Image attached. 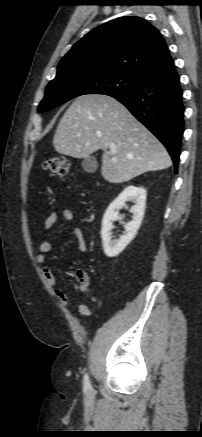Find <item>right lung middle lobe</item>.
I'll return each mask as SVG.
<instances>
[{
	"mask_svg": "<svg viewBox=\"0 0 202 437\" xmlns=\"http://www.w3.org/2000/svg\"><path fill=\"white\" fill-rule=\"evenodd\" d=\"M144 80L116 72L69 71L55 77L46 87L38 111L50 110L85 94L114 95L134 91Z\"/></svg>",
	"mask_w": 202,
	"mask_h": 437,
	"instance_id": "1",
	"label": "right lung middle lobe"
}]
</instances>
